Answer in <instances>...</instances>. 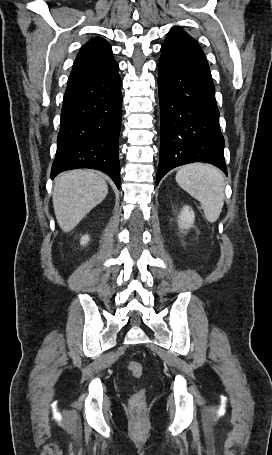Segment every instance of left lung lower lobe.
Segmentation results:
<instances>
[{
	"label": "left lung lower lobe",
	"instance_id": "left-lung-lower-lobe-1",
	"mask_svg": "<svg viewBox=\"0 0 272 455\" xmlns=\"http://www.w3.org/2000/svg\"><path fill=\"white\" fill-rule=\"evenodd\" d=\"M158 68L161 144L156 185L171 169L192 162L213 164L227 175L208 63L160 59Z\"/></svg>",
	"mask_w": 272,
	"mask_h": 455
}]
</instances>
